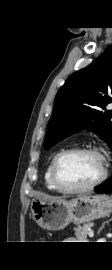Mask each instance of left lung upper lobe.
Masks as SVG:
<instances>
[{
    "label": "left lung upper lobe",
    "instance_id": "1",
    "mask_svg": "<svg viewBox=\"0 0 112 270\" xmlns=\"http://www.w3.org/2000/svg\"><path fill=\"white\" fill-rule=\"evenodd\" d=\"M112 47L84 69L68 77L59 89L48 124L44 148L83 129L93 131L112 149Z\"/></svg>",
    "mask_w": 112,
    "mask_h": 270
}]
</instances>
